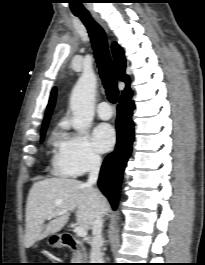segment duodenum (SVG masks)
<instances>
[{"label": "duodenum", "instance_id": "duodenum-1", "mask_svg": "<svg viewBox=\"0 0 205 265\" xmlns=\"http://www.w3.org/2000/svg\"><path fill=\"white\" fill-rule=\"evenodd\" d=\"M60 240L63 246L69 248L75 253H79L83 250L81 242L69 233H63Z\"/></svg>", "mask_w": 205, "mask_h": 265}]
</instances>
